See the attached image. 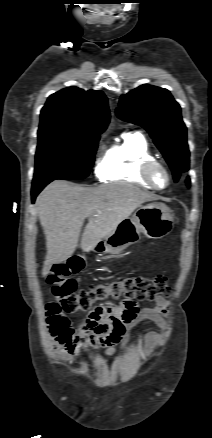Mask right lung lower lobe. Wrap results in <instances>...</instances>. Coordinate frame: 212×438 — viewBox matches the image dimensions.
Segmentation results:
<instances>
[{
  "label": "right lung lower lobe",
  "mask_w": 212,
  "mask_h": 438,
  "mask_svg": "<svg viewBox=\"0 0 212 438\" xmlns=\"http://www.w3.org/2000/svg\"><path fill=\"white\" fill-rule=\"evenodd\" d=\"M53 180H42V181H33L32 184V203L35 202L36 196L40 193V191Z\"/></svg>",
  "instance_id": "1"
}]
</instances>
